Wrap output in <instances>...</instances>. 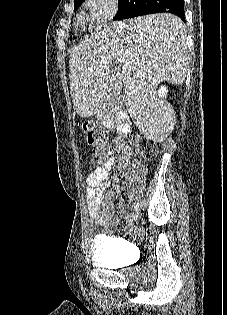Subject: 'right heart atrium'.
<instances>
[{
  "label": "right heart atrium",
  "mask_w": 227,
  "mask_h": 315,
  "mask_svg": "<svg viewBox=\"0 0 227 315\" xmlns=\"http://www.w3.org/2000/svg\"><path fill=\"white\" fill-rule=\"evenodd\" d=\"M85 5L97 27L107 24L116 14L118 0H86Z\"/></svg>",
  "instance_id": "right-heart-atrium-1"
}]
</instances>
